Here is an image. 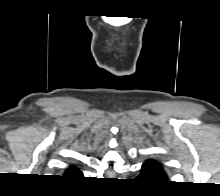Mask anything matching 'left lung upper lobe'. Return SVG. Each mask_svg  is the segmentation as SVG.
<instances>
[{
	"mask_svg": "<svg viewBox=\"0 0 220 196\" xmlns=\"http://www.w3.org/2000/svg\"><path fill=\"white\" fill-rule=\"evenodd\" d=\"M149 162H151L152 164H154L161 172L162 174L167 177L166 172L164 171V168L162 166V164L156 160H147Z\"/></svg>",
	"mask_w": 220,
	"mask_h": 196,
	"instance_id": "left-lung-upper-lobe-1",
	"label": "left lung upper lobe"
}]
</instances>
